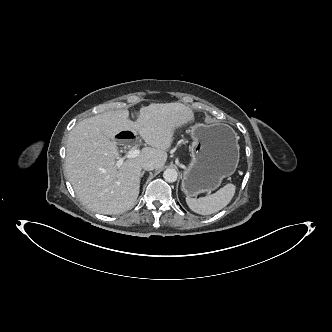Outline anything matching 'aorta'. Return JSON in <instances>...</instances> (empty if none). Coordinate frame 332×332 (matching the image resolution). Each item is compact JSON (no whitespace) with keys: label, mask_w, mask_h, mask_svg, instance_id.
Listing matches in <instances>:
<instances>
[{"label":"aorta","mask_w":332,"mask_h":332,"mask_svg":"<svg viewBox=\"0 0 332 332\" xmlns=\"http://www.w3.org/2000/svg\"><path fill=\"white\" fill-rule=\"evenodd\" d=\"M163 178L169 183H173L178 178V173L175 169L168 168L163 172Z\"/></svg>","instance_id":"aorta-1"}]
</instances>
